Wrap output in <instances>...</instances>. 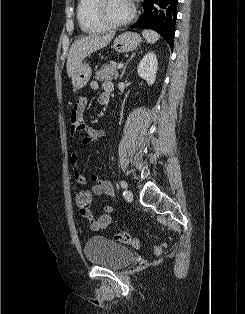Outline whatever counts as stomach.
<instances>
[{
  "label": "stomach",
  "mask_w": 245,
  "mask_h": 314,
  "mask_svg": "<svg viewBox=\"0 0 245 314\" xmlns=\"http://www.w3.org/2000/svg\"><path fill=\"white\" fill-rule=\"evenodd\" d=\"M141 42V37L135 32H125L119 35L113 43V49L125 53L136 49ZM91 68L87 64H81L72 76V85L75 89H82L91 78Z\"/></svg>",
  "instance_id": "0dacf381"
}]
</instances>
